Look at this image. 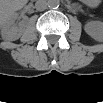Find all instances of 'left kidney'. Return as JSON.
<instances>
[{"mask_svg": "<svg viewBox=\"0 0 103 103\" xmlns=\"http://www.w3.org/2000/svg\"><path fill=\"white\" fill-rule=\"evenodd\" d=\"M84 30L95 41H101L103 38V26L99 21L88 22Z\"/></svg>", "mask_w": 103, "mask_h": 103, "instance_id": "left-kidney-1", "label": "left kidney"}]
</instances>
